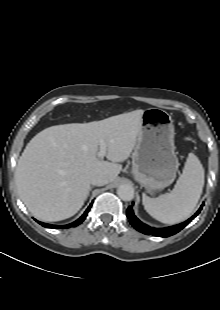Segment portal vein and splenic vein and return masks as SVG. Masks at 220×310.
Here are the masks:
<instances>
[{
  "mask_svg": "<svg viewBox=\"0 0 220 310\" xmlns=\"http://www.w3.org/2000/svg\"><path fill=\"white\" fill-rule=\"evenodd\" d=\"M107 152V145L104 141H100V147L98 152V157L103 158L106 155Z\"/></svg>",
  "mask_w": 220,
  "mask_h": 310,
  "instance_id": "18ae733b",
  "label": "portal vein and splenic vein"
}]
</instances>
